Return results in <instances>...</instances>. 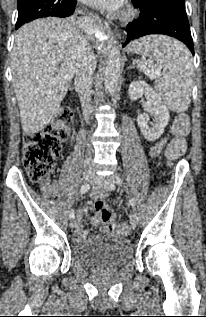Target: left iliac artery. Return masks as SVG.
Wrapping results in <instances>:
<instances>
[{"label":"left iliac artery","instance_id":"1","mask_svg":"<svg viewBox=\"0 0 206 317\" xmlns=\"http://www.w3.org/2000/svg\"><path fill=\"white\" fill-rule=\"evenodd\" d=\"M112 179H113L114 183H116L117 185H122L123 184V179L120 176H118V175H114L112 177ZM129 203H130V205L132 207H134L136 205L135 198L134 197H130Z\"/></svg>","mask_w":206,"mask_h":317}]
</instances>
